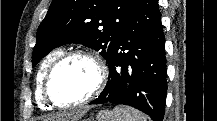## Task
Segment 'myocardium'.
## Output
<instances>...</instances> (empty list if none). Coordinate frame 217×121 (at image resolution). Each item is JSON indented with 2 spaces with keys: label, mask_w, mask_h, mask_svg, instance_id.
<instances>
[{
  "label": "myocardium",
  "mask_w": 217,
  "mask_h": 121,
  "mask_svg": "<svg viewBox=\"0 0 217 121\" xmlns=\"http://www.w3.org/2000/svg\"><path fill=\"white\" fill-rule=\"evenodd\" d=\"M86 58L90 60L96 67L97 69V80L96 84L93 88V90L90 92L88 96L83 98L82 100L71 103V104H62L58 102L53 95L51 94V82L52 79L56 73V71L68 60L72 58ZM107 80V68L102 61L101 58L96 56L95 54L86 51V50H74L70 52L63 53L49 68V70L46 73L45 79H44V84H43V94L47 100V102L54 108H59V109H69L72 107H78L85 105L92 101L104 88L105 83Z\"/></svg>",
  "instance_id": "myocardium-1"
}]
</instances>
